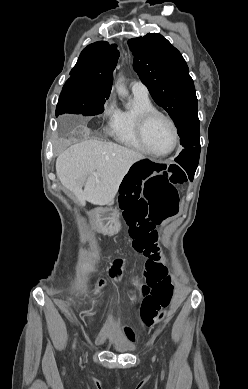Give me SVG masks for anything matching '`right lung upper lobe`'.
I'll list each match as a JSON object with an SVG mask.
<instances>
[{"label":"right lung upper lobe","instance_id":"right-lung-upper-lobe-1","mask_svg":"<svg viewBox=\"0 0 248 389\" xmlns=\"http://www.w3.org/2000/svg\"><path fill=\"white\" fill-rule=\"evenodd\" d=\"M119 58L116 44L98 41L88 45L80 54L76 65L70 72L72 77L80 76L92 87L110 89L113 70Z\"/></svg>","mask_w":248,"mask_h":389}]
</instances>
